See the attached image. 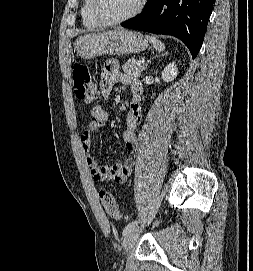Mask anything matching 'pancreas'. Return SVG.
I'll return each mask as SVG.
<instances>
[{"instance_id": "1", "label": "pancreas", "mask_w": 253, "mask_h": 271, "mask_svg": "<svg viewBox=\"0 0 253 271\" xmlns=\"http://www.w3.org/2000/svg\"><path fill=\"white\" fill-rule=\"evenodd\" d=\"M123 71L135 77H140L143 71V67L141 65H137V61L132 58L123 65Z\"/></svg>"}]
</instances>
